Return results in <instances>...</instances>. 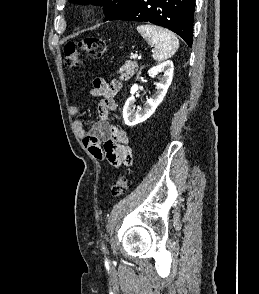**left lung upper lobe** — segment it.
<instances>
[{"instance_id": "obj_1", "label": "left lung upper lobe", "mask_w": 259, "mask_h": 294, "mask_svg": "<svg viewBox=\"0 0 259 294\" xmlns=\"http://www.w3.org/2000/svg\"><path fill=\"white\" fill-rule=\"evenodd\" d=\"M70 3H77L82 5H100L104 7L105 19L110 18L112 15L128 6L135 0H68Z\"/></svg>"}]
</instances>
